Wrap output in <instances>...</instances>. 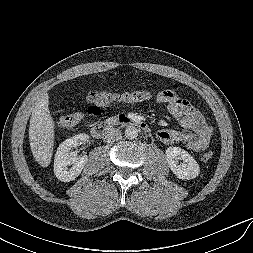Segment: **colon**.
<instances>
[{
	"instance_id": "obj_1",
	"label": "colon",
	"mask_w": 253,
	"mask_h": 253,
	"mask_svg": "<svg viewBox=\"0 0 253 253\" xmlns=\"http://www.w3.org/2000/svg\"><path fill=\"white\" fill-rule=\"evenodd\" d=\"M153 96V92L149 90H137L132 92H125L120 94L97 91L93 93V101L98 105L92 107L93 112H100L99 105H112L120 103L140 102L150 99ZM81 120L80 113H70L62 115L58 120V127L60 129H70L74 127ZM213 157V152L208 151L203 154V161L207 162Z\"/></svg>"
}]
</instances>
